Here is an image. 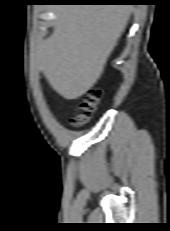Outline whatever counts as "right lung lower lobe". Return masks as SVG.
<instances>
[{
    "instance_id": "1",
    "label": "right lung lower lobe",
    "mask_w": 170,
    "mask_h": 231,
    "mask_svg": "<svg viewBox=\"0 0 170 231\" xmlns=\"http://www.w3.org/2000/svg\"><path fill=\"white\" fill-rule=\"evenodd\" d=\"M49 2L58 4H68V3H123L128 2V0H48Z\"/></svg>"
}]
</instances>
